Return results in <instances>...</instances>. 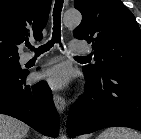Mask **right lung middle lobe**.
<instances>
[{
  "instance_id": "obj_1",
  "label": "right lung middle lobe",
  "mask_w": 141,
  "mask_h": 139,
  "mask_svg": "<svg viewBox=\"0 0 141 139\" xmlns=\"http://www.w3.org/2000/svg\"><path fill=\"white\" fill-rule=\"evenodd\" d=\"M22 72L19 57L0 56V74Z\"/></svg>"
}]
</instances>
